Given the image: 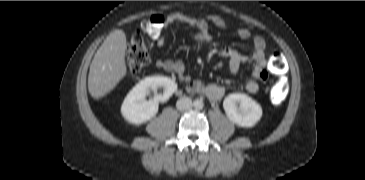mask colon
<instances>
[{
	"label": "colon",
	"instance_id": "5ec220e1",
	"mask_svg": "<svg viewBox=\"0 0 365 180\" xmlns=\"http://www.w3.org/2000/svg\"><path fill=\"white\" fill-rule=\"evenodd\" d=\"M164 28V17L154 15L144 21L141 29L132 36L126 55V67L130 74L139 73L149 61L148 47L144 41L143 34L156 38L163 32ZM268 67L271 73L279 78L271 89V98L275 104H280L283 102L287 92V85L281 80L286 71V62L283 54L280 52L272 53L268 61Z\"/></svg>",
	"mask_w": 365,
	"mask_h": 180
}]
</instances>
